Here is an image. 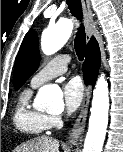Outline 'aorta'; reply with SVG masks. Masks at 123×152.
Masks as SVG:
<instances>
[{
  "mask_svg": "<svg viewBox=\"0 0 123 152\" xmlns=\"http://www.w3.org/2000/svg\"><path fill=\"white\" fill-rule=\"evenodd\" d=\"M73 22L61 19L56 24L47 27L41 37V49L45 55L59 51L71 36ZM39 110L55 111L63 108L62 92L59 88L46 85L40 88L35 101ZM89 128L84 142L83 152H102L108 125L109 90L108 83L102 74L93 91Z\"/></svg>",
  "mask_w": 123,
  "mask_h": 152,
  "instance_id": "aorta-1",
  "label": "aorta"
}]
</instances>
